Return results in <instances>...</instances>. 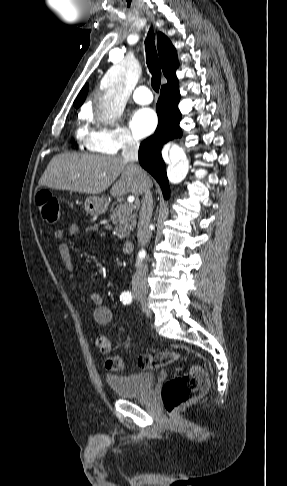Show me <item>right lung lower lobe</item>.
<instances>
[{
    "label": "right lung lower lobe",
    "instance_id": "obj_1",
    "mask_svg": "<svg viewBox=\"0 0 287 486\" xmlns=\"http://www.w3.org/2000/svg\"><path fill=\"white\" fill-rule=\"evenodd\" d=\"M180 93L178 81L161 87L156 105L158 126L154 135L144 140L139 148V162L159 183L165 198L169 197L166 166L161 157V149L168 141L182 136L179 127L181 113L178 110Z\"/></svg>",
    "mask_w": 287,
    "mask_h": 486
}]
</instances>
